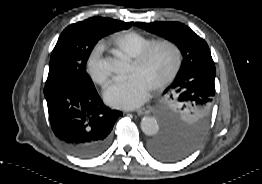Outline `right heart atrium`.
Wrapping results in <instances>:
<instances>
[{"mask_svg": "<svg viewBox=\"0 0 262 184\" xmlns=\"http://www.w3.org/2000/svg\"><path fill=\"white\" fill-rule=\"evenodd\" d=\"M102 51L100 45L91 51L87 61V73L92 82L102 88H107L113 79V73Z\"/></svg>", "mask_w": 262, "mask_h": 184, "instance_id": "right-heart-atrium-1", "label": "right heart atrium"}]
</instances>
